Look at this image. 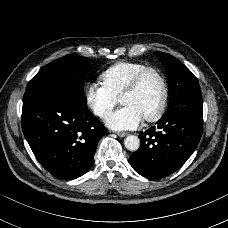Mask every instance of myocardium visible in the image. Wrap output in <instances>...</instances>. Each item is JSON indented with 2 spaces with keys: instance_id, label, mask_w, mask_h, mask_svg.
Wrapping results in <instances>:
<instances>
[{
  "instance_id": "obj_1",
  "label": "myocardium",
  "mask_w": 228,
  "mask_h": 228,
  "mask_svg": "<svg viewBox=\"0 0 228 228\" xmlns=\"http://www.w3.org/2000/svg\"><path fill=\"white\" fill-rule=\"evenodd\" d=\"M151 73L157 75L160 78L162 86H163V92H164L163 101H162L159 109L154 114L144 117L145 121L155 122V121H158L159 119H161L162 116L165 114L168 104H169V98H170V91H169V85H168L167 79L160 69L149 66V67H146L145 69L141 70L140 72H138L134 76V78L132 79L130 84L123 91V93L121 95V101H122L123 97H125L126 95L135 92L140 87L144 78L148 74H151Z\"/></svg>"
}]
</instances>
